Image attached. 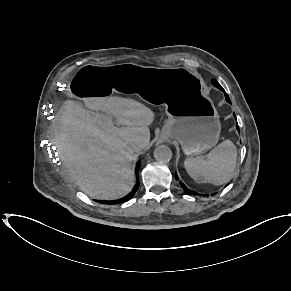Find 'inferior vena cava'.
I'll return each mask as SVG.
<instances>
[{"instance_id":"obj_1","label":"inferior vena cava","mask_w":291,"mask_h":291,"mask_svg":"<svg viewBox=\"0 0 291 291\" xmlns=\"http://www.w3.org/2000/svg\"><path fill=\"white\" fill-rule=\"evenodd\" d=\"M130 149L132 150V151H137L139 148H138V146L137 145H135V144H131L130 145Z\"/></svg>"}]
</instances>
